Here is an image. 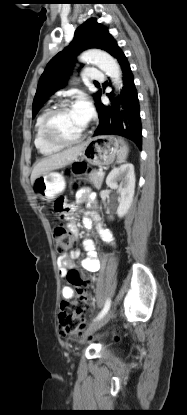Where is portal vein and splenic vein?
Masks as SVG:
<instances>
[{"label":"portal vein and splenic vein","mask_w":187,"mask_h":415,"mask_svg":"<svg viewBox=\"0 0 187 415\" xmlns=\"http://www.w3.org/2000/svg\"><path fill=\"white\" fill-rule=\"evenodd\" d=\"M98 174H99V175H102V174H103V171H102V170H100V171L98 172Z\"/></svg>","instance_id":"18ae733b"}]
</instances>
